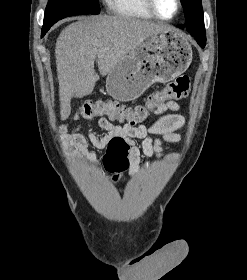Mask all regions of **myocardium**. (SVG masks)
Segmentation results:
<instances>
[{
  "label": "myocardium",
  "instance_id": "obj_1",
  "mask_svg": "<svg viewBox=\"0 0 247 280\" xmlns=\"http://www.w3.org/2000/svg\"><path fill=\"white\" fill-rule=\"evenodd\" d=\"M145 3H146V6H147L148 10L150 11V13L155 18H157L161 21H172V20H174L179 15L181 7H182L181 0H176L177 8H176L175 14L171 18H164L161 15H159V13L157 12V10L155 8V5H154V0H145Z\"/></svg>",
  "mask_w": 247,
  "mask_h": 280
}]
</instances>
